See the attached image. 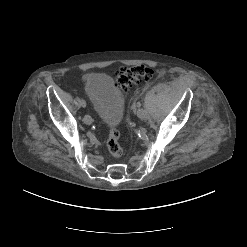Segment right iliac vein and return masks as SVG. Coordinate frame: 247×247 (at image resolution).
Instances as JSON below:
<instances>
[{"instance_id":"obj_1","label":"right iliac vein","mask_w":247,"mask_h":247,"mask_svg":"<svg viewBox=\"0 0 247 247\" xmlns=\"http://www.w3.org/2000/svg\"><path fill=\"white\" fill-rule=\"evenodd\" d=\"M83 121H84L86 124H91V123H92V118H91V116H89V115H85L84 118H83Z\"/></svg>"}]
</instances>
